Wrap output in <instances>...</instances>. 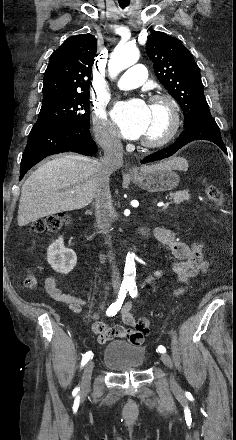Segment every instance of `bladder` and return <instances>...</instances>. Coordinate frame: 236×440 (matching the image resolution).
<instances>
[{
    "mask_svg": "<svg viewBox=\"0 0 236 440\" xmlns=\"http://www.w3.org/2000/svg\"><path fill=\"white\" fill-rule=\"evenodd\" d=\"M146 363V348L123 340L110 341L104 351L103 364L116 371H140Z\"/></svg>",
    "mask_w": 236,
    "mask_h": 440,
    "instance_id": "obj_1",
    "label": "bladder"
}]
</instances>
